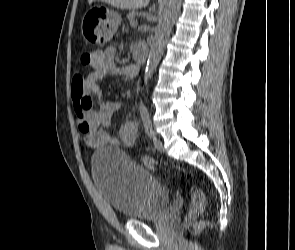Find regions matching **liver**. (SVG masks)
Listing matches in <instances>:
<instances>
[{
	"label": "liver",
	"mask_w": 295,
	"mask_h": 250,
	"mask_svg": "<svg viewBox=\"0 0 295 250\" xmlns=\"http://www.w3.org/2000/svg\"><path fill=\"white\" fill-rule=\"evenodd\" d=\"M95 0H89V3ZM101 2L107 3L113 7L120 8L123 10H137L146 7L150 0H99Z\"/></svg>",
	"instance_id": "1"
}]
</instances>
